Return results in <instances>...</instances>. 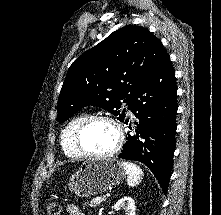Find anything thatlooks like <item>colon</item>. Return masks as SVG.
Wrapping results in <instances>:
<instances>
[{
	"mask_svg": "<svg viewBox=\"0 0 221 215\" xmlns=\"http://www.w3.org/2000/svg\"><path fill=\"white\" fill-rule=\"evenodd\" d=\"M62 208L58 203H50L47 206L48 215H61Z\"/></svg>",
	"mask_w": 221,
	"mask_h": 215,
	"instance_id": "obj_1",
	"label": "colon"
}]
</instances>
